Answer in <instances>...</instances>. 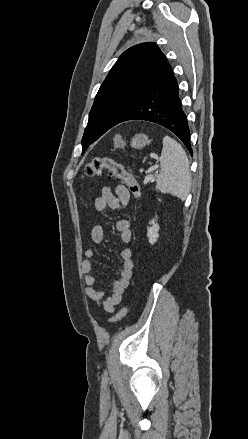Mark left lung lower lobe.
<instances>
[{"mask_svg":"<svg viewBox=\"0 0 248 439\" xmlns=\"http://www.w3.org/2000/svg\"><path fill=\"white\" fill-rule=\"evenodd\" d=\"M128 120H145L164 126L179 137L192 155L188 122L170 65L119 123Z\"/></svg>","mask_w":248,"mask_h":439,"instance_id":"0a47b994","label":"left lung lower lobe"}]
</instances>
